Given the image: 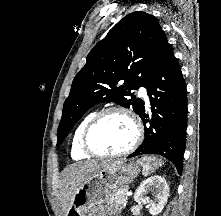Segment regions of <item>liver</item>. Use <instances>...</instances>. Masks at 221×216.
Here are the masks:
<instances>
[{
    "mask_svg": "<svg viewBox=\"0 0 221 216\" xmlns=\"http://www.w3.org/2000/svg\"><path fill=\"white\" fill-rule=\"evenodd\" d=\"M107 164L106 161H86L80 162L64 171L60 183L59 197L65 212L69 206L73 193L78 187L91 175L101 170Z\"/></svg>",
    "mask_w": 221,
    "mask_h": 216,
    "instance_id": "6515ba94",
    "label": "liver"
}]
</instances>
